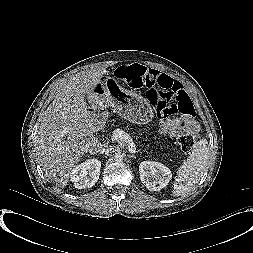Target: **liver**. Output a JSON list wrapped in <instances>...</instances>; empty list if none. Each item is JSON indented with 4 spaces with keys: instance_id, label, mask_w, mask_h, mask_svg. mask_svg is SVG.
I'll return each mask as SVG.
<instances>
[{
    "instance_id": "liver-1",
    "label": "liver",
    "mask_w": 253,
    "mask_h": 253,
    "mask_svg": "<svg viewBox=\"0 0 253 253\" xmlns=\"http://www.w3.org/2000/svg\"><path fill=\"white\" fill-rule=\"evenodd\" d=\"M106 70L82 71L62 82L43 113L35 140L38 162L46 176L66 186L70 172L90 149L94 129L85 97L100 83Z\"/></svg>"
}]
</instances>
